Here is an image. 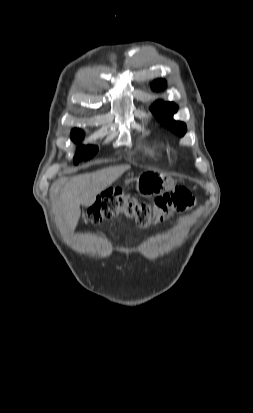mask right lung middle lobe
<instances>
[{
	"label": "right lung middle lobe",
	"mask_w": 253,
	"mask_h": 413,
	"mask_svg": "<svg viewBox=\"0 0 253 413\" xmlns=\"http://www.w3.org/2000/svg\"><path fill=\"white\" fill-rule=\"evenodd\" d=\"M84 133L79 129H74L71 133V138L74 142H79L83 139ZM98 151L96 146H80L77 149V153L75 155V164H78L80 160H88L93 157Z\"/></svg>",
	"instance_id": "obj_1"
}]
</instances>
